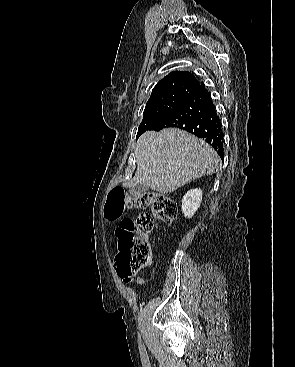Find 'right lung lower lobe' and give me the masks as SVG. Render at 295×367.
Here are the masks:
<instances>
[{
	"mask_svg": "<svg viewBox=\"0 0 295 367\" xmlns=\"http://www.w3.org/2000/svg\"><path fill=\"white\" fill-rule=\"evenodd\" d=\"M176 127L204 139L219 154H223L222 126L208 91L201 87L188 97L174 112L152 130Z\"/></svg>",
	"mask_w": 295,
	"mask_h": 367,
	"instance_id": "1",
	"label": "right lung lower lobe"
}]
</instances>
